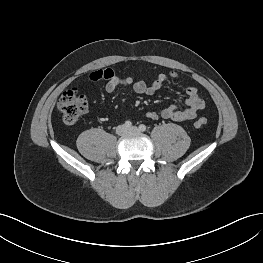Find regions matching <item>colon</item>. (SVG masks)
Wrapping results in <instances>:
<instances>
[{
    "label": "colon",
    "instance_id": "5ec220e1",
    "mask_svg": "<svg viewBox=\"0 0 263 263\" xmlns=\"http://www.w3.org/2000/svg\"><path fill=\"white\" fill-rule=\"evenodd\" d=\"M87 108V96L76 88H72L64 92L58 102V109L64 122L68 125L76 124L85 114ZM205 124V119H200L195 123V126L202 127Z\"/></svg>",
    "mask_w": 263,
    "mask_h": 263
}]
</instances>
